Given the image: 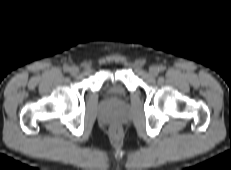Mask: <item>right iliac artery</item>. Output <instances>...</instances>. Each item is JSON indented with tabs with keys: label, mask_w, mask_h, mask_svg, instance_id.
<instances>
[{
	"label": "right iliac artery",
	"mask_w": 231,
	"mask_h": 170,
	"mask_svg": "<svg viewBox=\"0 0 231 170\" xmlns=\"http://www.w3.org/2000/svg\"><path fill=\"white\" fill-rule=\"evenodd\" d=\"M63 69H64L65 72H68L70 70V67L66 65V66H64Z\"/></svg>",
	"instance_id": "82829eb1"
}]
</instances>
